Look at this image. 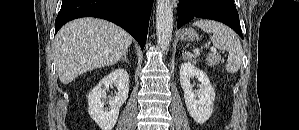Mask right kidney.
<instances>
[{"label":"right kidney","mask_w":299,"mask_h":130,"mask_svg":"<svg viewBox=\"0 0 299 130\" xmlns=\"http://www.w3.org/2000/svg\"><path fill=\"white\" fill-rule=\"evenodd\" d=\"M116 86L115 97L109 100L110 110L104 109L106 90ZM129 75L126 70L118 68L102 78L88 95V112L90 117L102 130H112L119 116V109L128 98Z\"/></svg>","instance_id":"obj_1"}]
</instances>
